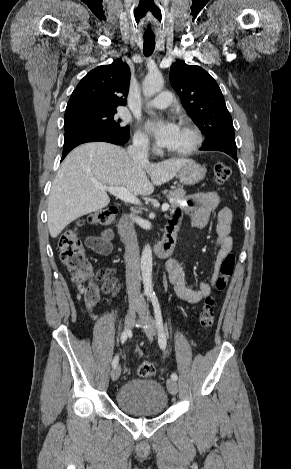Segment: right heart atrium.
<instances>
[{
	"mask_svg": "<svg viewBox=\"0 0 291 469\" xmlns=\"http://www.w3.org/2000/svg\"><path fill=\"white\" fill-rule=\"evenodd\" d=\"M133 144L137 149L143 151H147L151 147L148 136L141 130H136L134 133Z\"/></svg>",
	"mask_w": 291,
	"mask_h": 469,
	"instance_id": "d8ad5b80",
	"label": "right heart atrium"
}]
</instances>
